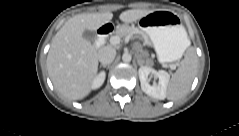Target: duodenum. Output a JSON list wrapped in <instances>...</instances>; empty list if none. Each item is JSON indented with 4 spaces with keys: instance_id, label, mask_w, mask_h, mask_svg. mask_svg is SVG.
<instances>
[{
    "instance_id": "duodenum-1",
    "label": "duodenum",
    "mask_w": 239,
    "mask_h": 136,
    "mask_svg": "<svg viewBox=\"0 0 239 136\" xmlns=\"http://www.w3.org/2000/svg\"><path fill=\"white\" fill-rule=\"evenodd\" d=\"M114 29L115 27L111 23H107L99 27L97 30L95 46H101L105 42L106 38L114 31Z\"/></svg>"
}]
</instances>
